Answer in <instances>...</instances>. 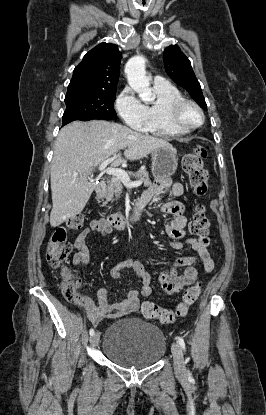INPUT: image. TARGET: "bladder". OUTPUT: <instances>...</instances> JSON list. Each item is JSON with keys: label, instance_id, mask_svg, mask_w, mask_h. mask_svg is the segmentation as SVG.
<instances>
[{"label": "bladder", "instance_id": "1", "mask_svg": "<svg viewBox=\"0 0 266 415\" xmlns=\"http://www.w3.org/2000/svg\"><path fill=\"white\" fill-rule=\"evenodd\" d=\"M166 338L159 327L130 317L112 323L106 330L102 352L124 368L141 369L157 363L166 352Z\"/></svg>", "mask_w": 266, "mask_h": 415}]
</instances>
